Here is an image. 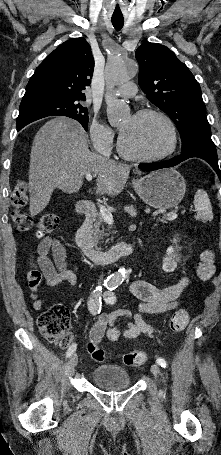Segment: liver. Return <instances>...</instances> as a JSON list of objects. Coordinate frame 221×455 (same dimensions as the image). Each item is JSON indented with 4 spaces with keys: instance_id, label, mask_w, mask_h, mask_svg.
Masks as SVG:
<instances>
[{
    "instance_id": "1",
    "label": "liver",
    "mask_w": 221,
    "mask_h": 455,
    "mask_svg": "<svg viewBox=\"0 0 221 455\" xmlns=\"http://www.w3.org/2000/svg\"><path fill=\"white\" fill-rule=\"evenodd\" d=\"M86 174L97 176V194L115 197L123 190L130 167L91 152L77 121L59 116L46 122L35 135L30 154L31 216L45 209L56 188L78 192Z\"/></svg>"
}]
</instances>
